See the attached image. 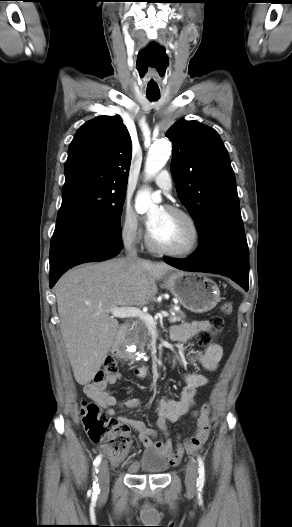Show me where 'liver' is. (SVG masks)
<instances>
[{
    "mask_svg": "<svg viewBox=\"0 0 292 527\" xmlns=\"http://www.w3.org/2000/svg\"><path fill=\"white\" fill-rule=\"evenodd\" d=\"M175 268L137 258L85 264L64 274L55 286L60 331L74 378L90 383L100 370L119 329L113 307H142L157 293L156 280Z\"/></svg>",
    "mask_w": 292,
    "mask_h": 527,
    "instance_id": "6515ba94",
    "label": "liver"
}]
</instances>
